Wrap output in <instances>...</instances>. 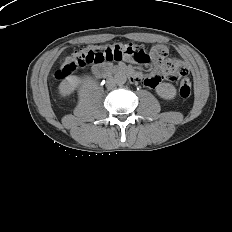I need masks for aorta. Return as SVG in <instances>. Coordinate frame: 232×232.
<instances>
[{
  "label": "aorta",
  "instance_id": "1",
  "mask_svg": "<svg viewBox=\"0 0 232 232\" xmlns=\"http://www.w3.org/2000/svg\"><path fill=\"white\" fill-rule=\"evenodd\" d=\"M114 81L117 85H123L127 81V76L124 73L119 72V73L115 74Z\"/></svg>",
  "mask_w": 232,
  "mask_h": 232
}]
</instances>
